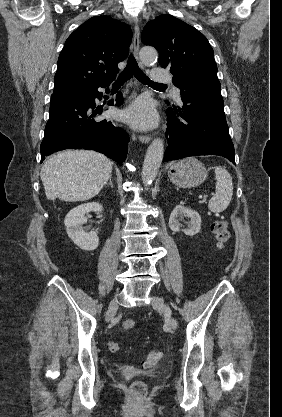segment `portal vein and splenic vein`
Returning a JSON list of instances; mask_svg holds the SVG:
<instances>
[{"label": "portal vein and splenic vein", "instance_id": "portal-vein-and-splenic-vein-1", "mask_svg": "<svg viewBox=\"0 0 282 417\" xmlns=\"http://www.w3.org/2000/svg\"><path fill=\"white\" fill-rule=\"evenodd\" d=\"M210 196H211V197H214V196H215V193H214V192H211V193H210Z\"/></svg>", "mask_w": 282, "mask_h": 417}]
</instances>
